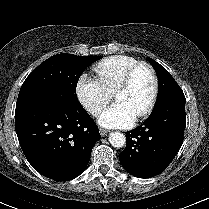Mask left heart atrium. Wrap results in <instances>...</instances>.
<instances>
[{
	"label": "left heart atrium",
	"mask_w": 209,
	"mask_h": 209,
	"mask_svg": "<svg viewBox=\"0 0 209 209\" xmlns=\"http://www.w3.org/2000/svg\"><path fill=\"white\" fill-rule=\"evenodd\" d=\"M135 113L122 101H116L99 116V123L107 128L131 126L136 120Z\"/></svg>",
	"instance_id": "1"
}]
</instances>
